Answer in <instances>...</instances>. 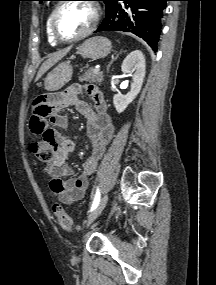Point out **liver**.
Masks as SVG:
<instances>
[{"label":"liver","instance_id":"6515ba94","mask_svg":"<svg viewBox=\"0 0 216 285\" xmlns=\"http://www.w3.org/2000/svg\"><path fill=\"white\" fill-rule=\"evenodd\" d=\"M70 49L71 47H68L62 51H58L54 53L49 59H47L40 67L35 81H38L46 71H48L59 60H61L70 51Z\"/></svg>","mask_w":216,"mask_h":285}]
</instances>
